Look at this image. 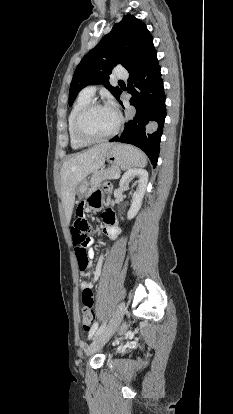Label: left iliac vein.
I'll list each match as a JSON object with an SVG mask.
<instances>
[{"mask_svg": "<svg viewBox=\"0 0 233 414\" xmlns=\"http://www.w3.org/2000/svg\"><path fill=\"white\" fill-rule=\"evenodd\" d=\"M125 303L121 302L110 323L107 325V327L94 339V341L90 344V346L87 348L86 350V355L87 356H91L92 354H94L95 352H97L98 350H100L107 342L108 340L112 337V335L115 333V331L117 330L119 324L121 323V320L123 318V315L125 313Z\"/></svg>", "mask_w": 233, "mask_h": 414, "instance_id": "left-iliac-vein-1", "label": "left iliac vein"}]
</instances>
